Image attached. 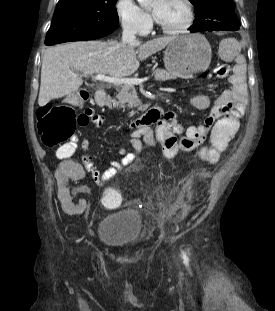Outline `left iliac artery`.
Returning a JSON list of instances; mask_svg holds the SVG:
<instances>
[{
	"mask_svg": "<svg viewBox=\"0 0 275 311\" xmlns=\"http://www.w3.org/2000/svg\"><path fill=\"white\" fill-rule=\"evenodd\" d=\"M182 254H183L184 260L187 262L188 261V257L186 256V253L184 251H182Z\"/></svg>",
	"mask_w": 275,
	"mask_h": 311,
	"instance_id": "1",
	"label": "left iliac artery"
}]
</instances>
